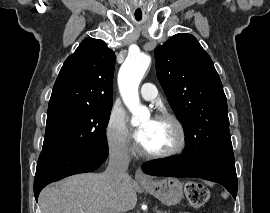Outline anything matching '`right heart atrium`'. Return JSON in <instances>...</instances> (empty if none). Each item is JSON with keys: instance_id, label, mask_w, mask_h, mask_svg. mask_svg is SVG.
<instances>
[{"instance_id": "obj_1", "label": "right heart atrium", "mask_w": 270, "mask_h": 213, "mask_svg": "<svg viewBox=\"0 0 270 213\" xmlns=\"http://www.w3.org/2000/svg\"><path fill=\"white\" fill-rule=\"evenodd\" d=\"M106 140L109 151L118 157L129 158L134 151L125 114L117 109L110 113L106 125Z\"/></svg>"}]
</instances>
